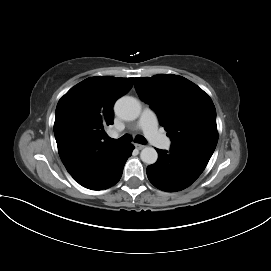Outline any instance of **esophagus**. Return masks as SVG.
Wrapping results in <instances>:
<instances>
[{"mask_svg":"<svg viewBox=\"0 0 271 271\" xmlns=\"http://www.w3.org/2000/svg\"><path fill=\"white\" fill-rule=\"evenodd\" d=\"M135 145V147L137 148V149H139V150H142L143 148H145V145H143V144H138V143H136V144H134Z\"/></svg>","mask_w":271,"mask_h":271,"instance_id":"esophagus-1","label":"esophagus"}]
</instances>
